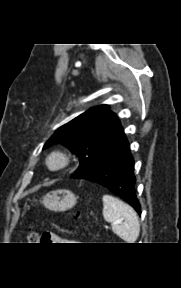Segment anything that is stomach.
Masks as SVG:
<instances>
[{"instance_id":"0dacf381","label":"stomach","mask_w":181,"mask_h":288,"mask_svg":"<svg viewBox=\"0 0 181 288\" xmlns=\"http://www.w3.org/2000/svg\"><path fill=\"white\" fill-rule=\"evenodd\" d=\"M77 202V197L69 190H54L43 196L42 204L49 210L60 212L72 208ZM30 208L29 205L26 206Z\"/></svg>"}]
</instances>
